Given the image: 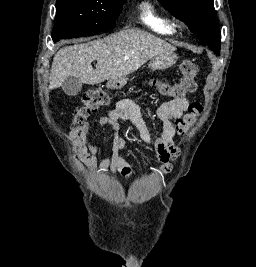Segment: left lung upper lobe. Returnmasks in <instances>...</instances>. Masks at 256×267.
Listing matches in <instances>:
<instances>
[{
  "mask_svg": "<svg viewBox=\"0 0 256 267\" xmlns=\"http://www.w3.org/2000/svg\"><path fill=\"white\" fill-rule=\"evenodd\" d=\"M173 15L183 20L197 38L220 54V33L213 0H159Z\"/></svg>",
  "mask_w": 256,
  "mask_h": 267,
  "instance_id": "5c2ea615",
  "label": "left lung upper lobe"
}]
</instances>
